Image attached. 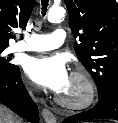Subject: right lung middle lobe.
Segmentation results:
<instances>
[{"instance_id": "dd1d6c3e", "label": "right lung middle lobe", "mask_w": 118, "mask_h": 123, "mask_svg": "<svg viewBox=\"0 0 118 123\" xmlns=\"http://www.w3.org/2000/svg\"><path fill=\"white\" fill-rule=\"evenodd\" d=\"M6 48H0V76H9L19 70L17 65L9 63L11 57H5L3 51Z\"/></svg>"}]
</instances>
